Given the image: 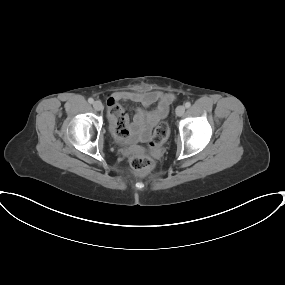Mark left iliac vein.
<instances>
[{"instance_id": "1", "label": "left iliac vein", "mask_w": 285, "mask_h": 285, "mask_svg": "<svg viewBox=\"0 0 285 285\" xmlns=\"http://www.w3.org/2000/svg\"><path fill=\"white\" fill-rule=\"evenodd\" d=\"M185 113V107L180 105L176 108V115L182 116Z\"/></svg>"}]
</instances>
